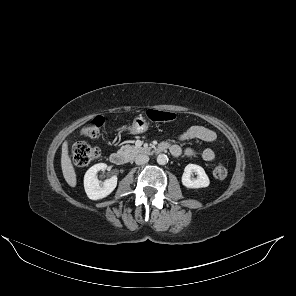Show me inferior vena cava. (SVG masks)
Masks as SVG:
<instances>
[{
    "instance_id": "obj_1",
    "label": "inferior vena cava",
    "mask_w": 296,
    "mask_h": 296,
    "mask_svg": "<svg viewBox=\"0 0 296 296\" xmlns=\"http://www.w3.org/2000/svg\"><path fill=\"white\" fill-rule=\"evenodd\" d=\"M149 161V157L145 154H139L135 157V163L137 165L146 164Z\"/></svg>"
}]
</instances>
